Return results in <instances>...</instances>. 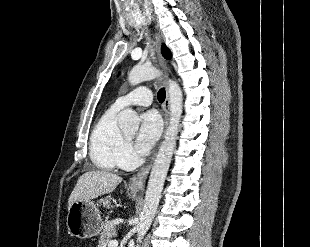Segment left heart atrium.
<instances>
[{
    "label": "left heart atrium",
    "instance_id": "obj_1",
    "mask_svg": "<svg viewBox=\"0 0 310 247\" xmlns=\"http://www.w3.org/2000/svg\"><path fill=\"white\" fill-rule=\"evenodd\" d=\"M162 130L159 115L155 111H148L140 117V127L135 140L138 153L146 154L157 142Z\"/></svg>",
    "mask_w": 310,
    "mask_h": 247
}]
</instances>
